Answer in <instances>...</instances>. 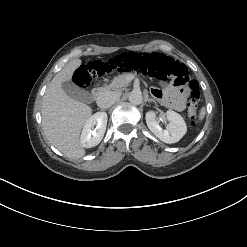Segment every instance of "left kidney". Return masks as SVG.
<instances>
[{
	"label": "left kidney",
	"mask_w": 247,
	"mask_h": 247,
	"mask_svg": "<svg viewBox=\"0 0 247 247\" xmlns=\"http://www.w3.org/2000/svg\"><path fill=\"white\" fill-rule=\"evenodd\" d=\"M166 118L169 121L166 129H162L159 126L156 113L154 111H148L146 113V123L150 131L161 141L172 144L178 142L187 131V127L182 116L175 111L168 110L166 112Z\"/></svg>",
	"instance_id": "5707ae66"
}]
</instances>
